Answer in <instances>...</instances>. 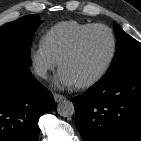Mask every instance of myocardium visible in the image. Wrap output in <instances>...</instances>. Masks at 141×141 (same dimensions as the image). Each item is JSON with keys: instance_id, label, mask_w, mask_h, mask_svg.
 <instances>
[{"instance_id": "obj_1", "label": "myocardium", "mask_w": 141, "mask_h": 141, "mask_svg": "<svg viewBox=\"0 0 141 141\" xmlns=\"http://www.w3.org/2000/svg\"><path fill=\"white\" fill-rule=\"evenodd\" d=\"M96 29H103L108 32V34L111 38V51H110V54H109L107 61L105 62L103 67L100 69V71L96 75H94L92 78H90L84 82L74 84V86L78 89H87V88H90V87L96 85L98 82H100L105 77V75L109 71L110 67L112 66V63L115 59L116 52H117V39H116V36H115L113 30L104 24H94V25L86 28L85 30H83L81 33H79L76 36V38L72 41V43L68 46V48L62 53V55L60 56V58L58 60V66L61 69L64 61L77 51V49L79 48L83 39L90 32H92Z\"/></svg>"}]
</instances>
